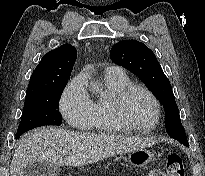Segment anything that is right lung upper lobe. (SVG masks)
Here are the masks:
<instances>
[{
  "mask_svg": "<svg viewBox=\"0 0 205 176\" xmlns=\"http://www.w3.org/2000/svg\"><path fill=\"white\" fill-rule=\"evenodd\" d=\"M76 57L77 51L70 44L46 53L31 75L26 96L45 93L66 84Z\"/></svg>",
  "mask_w": 205,
  "mask_h": 176,
  "instance_id": "1",
  "label": "right lung upper lobe"
}]
</instances>
